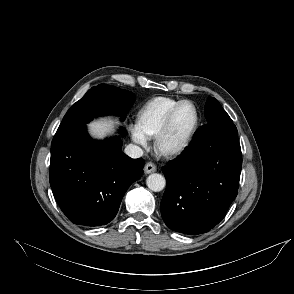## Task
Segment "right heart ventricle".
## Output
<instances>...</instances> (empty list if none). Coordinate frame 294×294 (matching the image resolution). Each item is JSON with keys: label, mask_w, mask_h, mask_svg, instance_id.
Returning a JSON list of instances; mask_svg holds the SVG:
<instances>
[{"label": "right heart ventricle", "mask_w": 294, "mask_h": 294, "mask_svg": "<svg viewBox=\"0 0 294 294\" xmlns=\"http://www.w3.org/2000/svg\"><path fill=\"white\" fill-rule=\"evenodd\" d=\"M180 101L168 97H155L147 101L136 118V127L142 136L146 139L154 138L168 113Z\"/></svg>", "instance_id": "1"}]
</instances>
